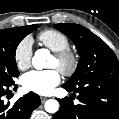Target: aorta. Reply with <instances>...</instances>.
<instances>
[{"label": "aorta", "mask_w": 119, "mask_h": 119, "mask_svg": "<svg viewBox=\"0 0 119 119\" xmlns=\"http://www.w3.org/2000/svg\"><path fill=\"white\" fill-rule=\"evenodd\" d=\"M49 57L50 52L47 49H39L32 58V65L37 70L47 68L46 60L49 59ZM44 107L48 113H56L59 109V103L55 99H49L45 102Z\"/></svg>", "instance_id": "762f6f07"}]
</instances>
